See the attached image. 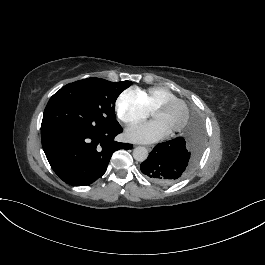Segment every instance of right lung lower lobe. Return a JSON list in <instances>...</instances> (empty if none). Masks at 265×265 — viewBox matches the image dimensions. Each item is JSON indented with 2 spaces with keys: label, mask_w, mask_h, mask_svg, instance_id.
Segmentation results:
<instances>
[{
  "label": "right lung lower lobe",
  "mask_w": 265,
  "mask_h": 265,
  "mask_svg": "<svg viewBox=\"0 0 265 265\" xmlns=\"http://www.w3.org/2000/svg\"><path fill=\"white\" fill-rule=\"evenodd\" d=\"M118 126L105 131L65 129L41 137L43 150L55 173L67 184L89 185L106 171L112 154L132 144L114 141Z\"/></svg>",
  "instance_id": "right-lung-lower-lobe-1"
}]
</instances>
